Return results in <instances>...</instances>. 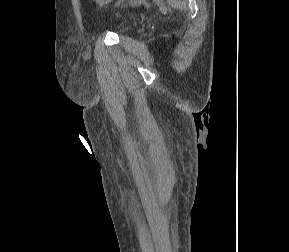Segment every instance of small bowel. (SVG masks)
<instances>
[{
  "instance_id": "small-bowel-1",
  "label": "small bowel",
  "mask_w": 289,
  "mask_h": 252,
  "mask_svg": "<svg viewBox=\"0 0 289 252\" xmlns=\"http://www.w3.org/2000/svg\"><path fill=\"white\" fill-rule=\"evenodd\" d=\"M97 6L99 7H103V6H106V5H109L110 3L113 2V0H93ZM134 3H136V0H133Z\"/></svg>"
}]
</instances>
